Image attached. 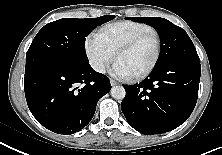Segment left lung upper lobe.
Segmentation results:
<instances>
[{
  "label": "left lung upper lobe",
  "mask_w": 222,
  "mask_h": 155,
  "mask_svg": "<svg viewBox=\"0 0 222 155\" xmlns=\"http://www.w3.org/2000/svg\"><path fill=\"white\" fill-rule=\"evenodd\" d=\"M153 26L161 39V50L155 67L175 60L200 62L195 46L187 33L170 21L160 17H128Z\"/></svg>",
  "instance_id": "5c2ea615"
}]
</instances>
